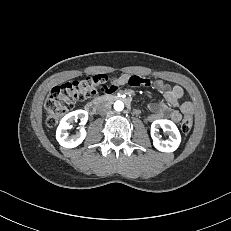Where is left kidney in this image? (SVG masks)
<instances>
[{"label":"left kidney","mask_w":231,"mask_h":231,"mask_svg":"<svg viewBox=\"0 0 231 231\" xmlns=\"http://www.w3.org/2000/svg\"><path fill=\"white\" fill-rule=\"evenodd\" d=\"M159 128H162L169 134V140H160L158 137ZM151 137L153 139V145L161 152H173L175 151L181 142V135L177 126L170 120L162 119L155 120L151 125Z\"/></svg>","instance_id":"1"}]
</instances>
